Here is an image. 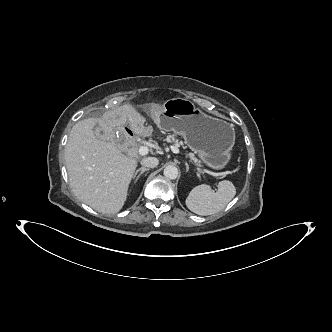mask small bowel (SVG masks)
<instances>
[{"instance_id":"small-bowel-1","label":"small bowel","mask_w":332,"mask_h":332,"mask_svg":"<svg viewBox=\"0 0 332 332\" xmlns=\"http://www.w3.org/2000/svg\"><path fill=\"white\" fill-rule=\"evenodd\" d=\"M148 113L152 117H157L161 113V108L157 104H152L148 108ZM133 130L139 136H149L152 133V127L145 125L143 120L135 122L133 124Z\"/></svg>"}]
</instances>
